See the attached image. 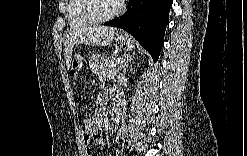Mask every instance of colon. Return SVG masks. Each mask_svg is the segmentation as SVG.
Listing matches in <instances>:
<instances>
[{"instance_id": "1", "label": "colon", "mask_w": 247, "mask_h": 156, "mask_svg": "<svg viewBox=\"0 0 247 156\" xmlns=\"http://www.w3.org/2000/svg\"><path fill=\"white\" fill-rule=\"evenodd\" d=\"M84 133H85V135H87L88 137H91L93 134H94V131H92V130H84Z\"/></svg>"}]
</instances>
